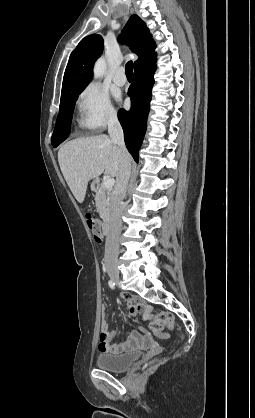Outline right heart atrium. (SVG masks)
Returning <instances> with one entry per match:
<instances>
[{
    "instance_id": "right-heart-atrium-1",
    "label": "right heart atrium",
    "mask_w": 255,
    "mask_h": 418,
    "mask_svg": "<svg viewBox=\"0 0 255 418\" xmlns=\"http://www.w3.org/2000/svg\"><path fill=\"white\" fill-rule=\"evenodd\" d=\"M77 106L79 125L85 130H99L117 119V112L108 92L96 83H91L82 90Z\"/></svg>"
}]
</instances>
